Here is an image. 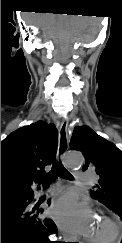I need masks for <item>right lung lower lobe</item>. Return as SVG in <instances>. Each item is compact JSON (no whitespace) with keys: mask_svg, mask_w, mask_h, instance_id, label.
I'll return each mask as SVG.
<instances>
[{"mask_svg":"<svg viewBox=\"0 0 122 243\" xmlns=\"http://www.w3.org/2000/svg\"><path fill=\"white\" fill-rule=\"evenodd\" d=\"M33 197L30 192L1 200V243H51L48 236L57 233L56 226L41 216L42 209L29 208Z\"/></svg>","mask_w":122,"mask_h":243,"instance_id":"obj_1","label":"right lung lower lobe"}]
</instances>
